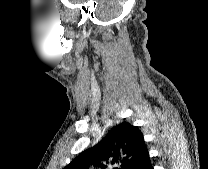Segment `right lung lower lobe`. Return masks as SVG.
Here are the masks:
<instances>
[{
    "mask_svg": "<svg viewBox=\"0 0 208 169\" xmlns=\"http://www.w3.org/2000/svg\"><path fill=\"white\" fill-rule=\"evenodd\" d=\"M140 169H153L150 158L143 164Z\"/></svg>",
    "mask_w": 208,
    "mask_h": 169,
    "instance_id": "98d812e1",
    "label": "right lung lower lobe"
}]
</instances>
